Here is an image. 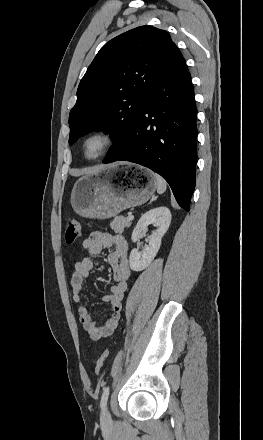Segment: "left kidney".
I'll list each match as a JSON object with an SVG mask.
<instances>
[{"label": "left kidney", "mask_w": 263, "mask_h": 440, "mask_svg": "<svg viewBox=\"0 0 263 440\" xmlns=\"http://www.w3.org/2000/svg\"><path fill=\"white\" fill-rule=\"evenodd\" d=\"M170 223V210L164 206L151 209L141 216L132 232L131 239L133 242L139 239L140 234L145 231L149 225L152 224L155 226L156 230L148 237V246L142 251L136 248L132 249L129 263L133 271H142L152 262L160 249L161 239L167 232Z\"/></svg>", "instance_id": "left-kidney-1"}]
</instances>
